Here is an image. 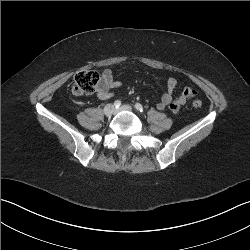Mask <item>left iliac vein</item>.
I'll list each match as a JSON object with an SVG mask.
<instances>
[{
	"instance_id": "1",
	"label": "left iliac vein",
	"mask_w": 250,
	"mask_h": 250,
	"mask_svg": "<svg viewBox=\"0 0 250 250\" xmlns=\"http://www.w3.org/2000/svg\"><path fill=\"white\" fill-rule=\"evenodd\" d=\"M132 110H133V108L130 105H122L116 111H132Z\"/></svg>"
}]
</instances>
